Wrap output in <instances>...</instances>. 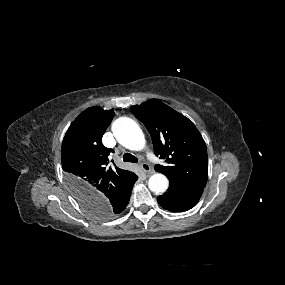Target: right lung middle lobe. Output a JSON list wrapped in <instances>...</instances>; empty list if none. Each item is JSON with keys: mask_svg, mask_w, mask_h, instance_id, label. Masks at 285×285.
<instances>
[{"mask_svg": "<svg viewBox=\"0 0 285 285\" xmlns=\"http://www.w3.org/2000/svg\"><path fill=\"white\" fill-rule=\"evenodd\" d=\"M70 186V185H69ZM71 188V187H70ZM72 190V189H71ZM73 192V191H72ZM90 214L102 219L112 218L114 215L106 208H98L94 206H83Z\"/></svg>", "mask_w": 285, "mask_h": 285, "instance_id": "dd1d6c3e", "label": "right lung middle lobe"}]
</instances>
